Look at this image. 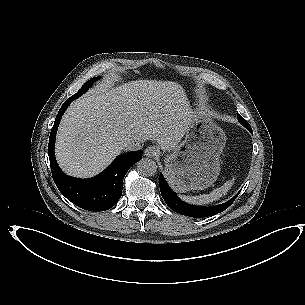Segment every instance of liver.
<instances>
[{
    "label": "liver",
    "mask_w": 305,
    "mask_h": 305,
    "mask_svg": "<svg viewBox=\"0 0 305 305\" xmlns=\"http://www.w3.org/2000/svg\"><path fill=\"white\" fill-rule=\"evenodd\" d=\"M165 86L183 94L177 83ZM192 113L187 105L163 112L153 109L146 85L140 81L89 92L72 102L60 122L56 160L66 174L90 178L121 154L126 139L152 140L163 150H173L184 136Z\"/></svg>",
    "instance_id": "obj_1"
}]
</instances>
